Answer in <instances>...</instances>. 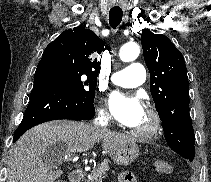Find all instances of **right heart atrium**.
Masks as SVG:
<instances>
[{"instance_id":"right-heart-atrium-1","label":"right heart atrium","mask_w":211,"mask_h":182,"mask_svg":"<svg viewBox=\"0 0 211 182\" xmlns=\"http://www.w3.org/2000/svg\"><path fill=\"white\" fill-rule=\"evenodd\" d=\"M97 116H98V119L103 123H107L110 120V114L102 106L98 107Z\"/></svg>"}]
</instances>
